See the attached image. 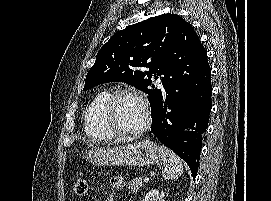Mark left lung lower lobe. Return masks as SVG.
I'll return each mask as SVG.
<instances>
[{"label":"left lung lower lobe","mask_w":271,"mask_h":201,"mask_svg":"<svg viewBox=\"0 0 271 201\" xmlns=\"http://www.w3.org/2000/svg\"><path fill=\"white\" fill-rule=\"evenodd\" d=\"M211 69L196 33L180 35L172 48L171 67L152 119L151 131L190 167L196 177L202 133L212 108Z\"/></svg>","instance_id":"left-lung-lower-lobe-1"}]
</instances>
